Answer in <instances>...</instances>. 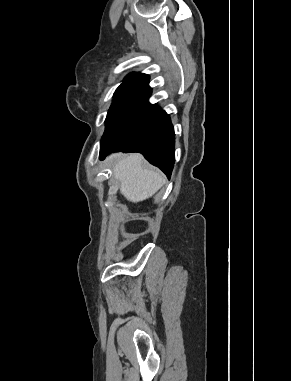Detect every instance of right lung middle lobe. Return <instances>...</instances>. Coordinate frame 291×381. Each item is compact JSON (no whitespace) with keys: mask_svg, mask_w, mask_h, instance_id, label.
I'll use <instances>...</instances> for the list:
<instances>
[{"mask_svg":"<svg viewBox=\"0 0 291 381\" xmlns=\"http://www.w3.org/2000/svg\"><path fill=\"white\" fill-rule=\"evenodd\" d=\"M141 79H133L122 83L114 93V101L106 117V130L101 142H115L120 136V127L130 104L134 99Z\"/></svg>","mask_w":291,"mask_h":381,"instance_id":"1","label":"right lung middle lobe"}]
</instances>
